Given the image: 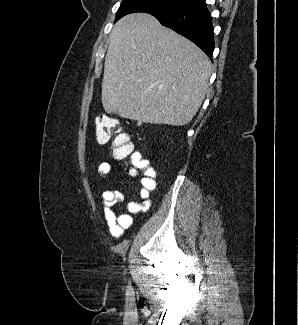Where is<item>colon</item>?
<instances>
[{"instance_id": "1", "label": "colon", "mask_w": 298, "mask_h": 325, "mask_svg": "<svg viewBox=\"0 0 298 325\" xmlns=\"http://www.w3.org/2000/svg\"><path fill=\"white\" fill-rule=\"evenodd\" d=\"M94 125L98 143L106 144L114 137L111 144L113 154L118 159H130L132 163L131 174L144 173L152 167L149 161L143 159L140 153L133 150V145L129 142L128 136L121 132L120 120L107 114H100L96 117Z\"/></svg>"}]
</instances>
